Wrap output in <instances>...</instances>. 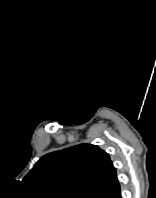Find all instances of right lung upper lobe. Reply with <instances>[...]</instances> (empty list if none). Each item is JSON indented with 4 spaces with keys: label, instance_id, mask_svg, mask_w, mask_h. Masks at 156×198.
I'll return each mask as SVG.
<instances>
[{
    "label": "right lung upper lobe",
    "instance_id": "obj_1",
    "mask_svg": "<svg viewBox=\"0 0 156 198\" xmlns=\"http://www.w3.org/2000/svg\"><path fill=\"white\" fill-rule=\"evenodd\" d=\"M24 181L42 198H116L121 192L109 155L92 144L44 155Z\"/></svg>",
    "mask_w": 156,
    "mask_h": 198
}]
</instances>
